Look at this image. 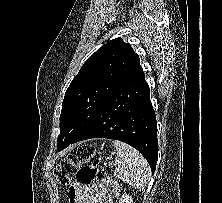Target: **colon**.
<instances>
[{"mask_svg": "<svg viewBox=\"0 0 222 203\" xmlns=\"http://www.w3.org/2000/svg\"><path fill=\"white\" fill-rule=\"evenodd\" d=\"M55 175L61 185H69L73 178L84 185L97 182L111 187L117 193V187L100 167V159L96 155L95 148L84 144L70 151L68 156L62 160Z\"/></svg>", "mask_w": 222, "mask_h": 203, "instance_id": "5ec220e1", "label": "colon"}]
</instances>
